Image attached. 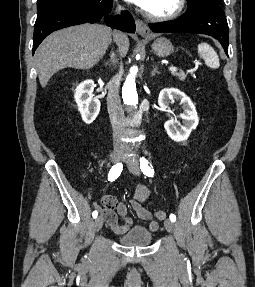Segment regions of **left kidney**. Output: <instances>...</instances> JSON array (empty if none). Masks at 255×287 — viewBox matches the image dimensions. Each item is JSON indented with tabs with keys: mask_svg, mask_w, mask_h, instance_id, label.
Returning <instances> with one entry per match:
<instances>
[{
	"mask_svg": "<svg viewBox=\"0 0 255 287\" xmlns=\"http://www.w3.org/2000/svg\"><path fill=\"white\" fill-rule=\"evenodd\" d=\"M174 100H180V104H182L183 114H180L179 118L183 120V126H181L180 122L174 120V118H170L168 122H165L164 128L171 140H174V142H185L189 138L191 130H195L198 126L197 112L190 98L184 92H181V90H177V88H164V90H161L158 104L160 108L167 110L169 104H172ZM176 124L180 128H176Z\"/></svg>",
	"mask_w": 255,
	"mask_h": 287,
	"instance_id": "5707ae66",
	"label": "left kidney"
}]
</instances>
